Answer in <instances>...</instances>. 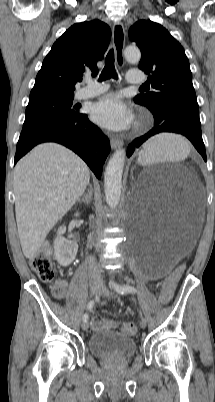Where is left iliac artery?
<instances>
[{"label": "left iliac artery", "mask_w": 215, "mask_h": 402, "mask_svg": "<svg viewBox=\"0 0 215 402\" xmlns=\"http://www.w3.org/2000/svg\"><path fill=\"white\" fill-rule=\"evenodd\" d=\"M113 287L118 293H120L122 295L137 292L136 288L131 285H118L116 283H113Z\"/></svg>", "instance_id": "left-iliac-artery-1"}]
</instances>
